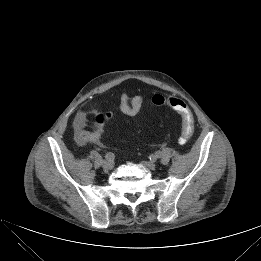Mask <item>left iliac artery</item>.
I'll use <instances>...</instances> for the list:
<instances>
[{"instance_id": "1", "label": "left iliac artery", "mask_w": 261, "mask_h": 261, "mask_svg": "<svg viewBox=\"0 0 261 261\" xmlns=\"http://www.w3.org/2000/svg\"><path fill=\"white\" fill-rule=\"evenodd\" d=\"M162 157H163V153L161 151H157L154 155H152L153 159H157V158L160 159Z\"/></svg>"}]
</instances>
